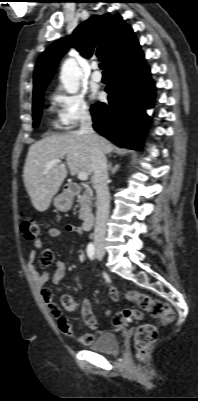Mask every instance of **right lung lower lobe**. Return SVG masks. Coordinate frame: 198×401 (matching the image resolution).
<instances>
[{"mask_svg":"<svg viewBox=\"0 0 198 401\" xmlns=\"http://www.w3.org/2000/svg\"><path fill=\"white\" fill-rule=\"evenodd\" d=\"M108 70V102L91 108L93 128L120 147L139 149L149 118L145 108L154 98V85L139 44Z\"/></svg>","mask_w":198,"mask_h":401,"instance_id":"right-lung-lower-lobe-1","label":"right lung lower lobe"}]
</instances>
